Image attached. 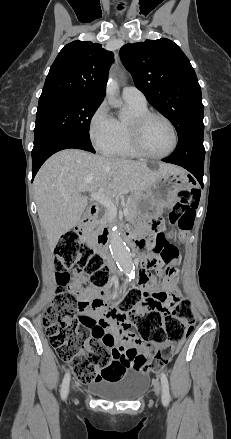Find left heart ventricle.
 Here are the masks:
<instances>
[{
    "instance_id": "obj_1",
    "label": "left heart ventricle",
    "mask_w": 231,
    "mask_h": 439,
    "mask_svg": "<svg viewBox=\"0 0 231 439\" xmlns=\"http://www.w3.org/2000/svg\"><path fill=\"white\" fill-rule=\"evenodd\" d=\"M142 142L152 154H163L173 145V135L168 124L159 119L152 118L144 126Z\"/></svg>"
}]
</instances>
